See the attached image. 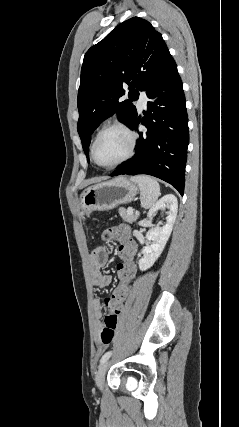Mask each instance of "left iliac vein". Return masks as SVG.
I'll use <instances>...</instances> for the list:
<instances>
[{"label": "left iliac vein", "mask_w": 239, "mask_h": 427, "mask_svg": "<svg viewBox=\"0 0 239 427\" xmlns=\"http://www.w3.org/2000/svg\"><path fill=\"white\" fill-rule=\"evenodd\" d=\"M108 366H109V361L104 362L103 364H101V366L99 367L98 372L96 374L95 382H96L97 387L100 390L103 389L105 375H106Z\"/></svg>", "instance_id": "obj_1"}]
</instances>
